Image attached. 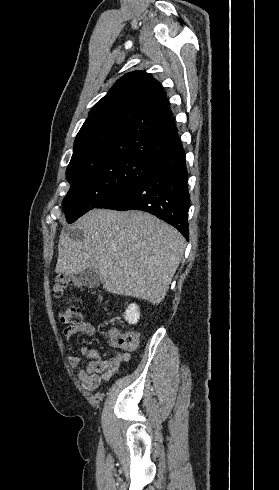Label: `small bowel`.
<instances>
[{
  "mask_svg": "<svg viewBox=\"0 0 279 490\" xmlns=\"http://www.w3.org/2000/svg\"><path fill=\"white\" fill-rule=\"evenodd\" d=\"M78 333L93 336L95 328L90 323L81 322L67 327L63 331V336L67 341H70ZM67 360L84 387L92 391L98 388L101 380H107L117 373L122 364L130 360V354L128 352H119L108 359H103L97 350L81 346L79 354L68 356ZM86 360H90L87 366H85Z\"/></svg>",
  "mask_w": 279,
  "mask_h": 490,
  "instance_id": "1",
  "label": "small bowel"
}]
</instances>
